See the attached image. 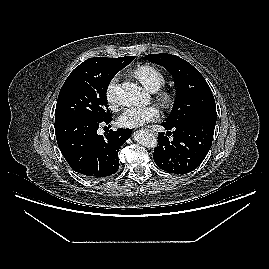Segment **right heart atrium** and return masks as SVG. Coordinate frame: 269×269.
I'll return each mask as SVG.
<instances>
[{
  "instance_id": "right-heart-atrium-1",
  "label": "right heart atrium",
  "mask_w": 269,
  "mask_h": 269,
  "mask_svg": "<svg viewBox=\"0 0 269 269\" xmlns=\"http://www.w3.org/2000/svg\"><path fill=\"white\" fill-rule=\"evenodd\" d=\"M119 77L114 76L108 82L106 89H105V98L108 105L111 108H115L118 105V99L116 96V88L118 84Z\"/></svg>"
}]
</instances>
